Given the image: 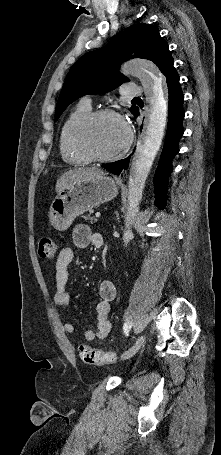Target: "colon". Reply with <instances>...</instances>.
<instances>
[{
  "label": "colon",
  "instance_id": "colon-1",
  "mask_svg": "<svg viewBox=\"0 0 221 455\" xmlns=\"http://www.w3.org/2000/svg\"><path fill=\"white\" fill-rule=\"evenodd\" d=\"M38 253L40 257L52 260L56 257V245L49 236H41L38 242ZM79 355L83 362L90 365H107L115 362L116 355L111 352L93 349L87 345L79 346Z\"/></svg>",
  "mask_w": 221,
  "mask_h": 455
}]
</instances>
